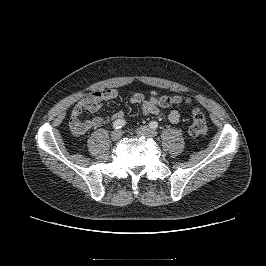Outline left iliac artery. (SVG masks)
Listing matches in <instances>:
<instances>
[{
	"instance_id": "obj_1",
	"label": "left iliac artery",
	"mask_w": 266,
	"mask_h": 266,
	"mask_svg": "<svg viewBox=\"0 0 266 266\" xmlns=\"http://www.w3.org/2000/svg\"><path fill=\"white\" fill-rule=\"evenodd\" d=\"M149 126L152 128V129H156L158 127V122L156 121H151L149 123Z\"/></svg>"
}]
</instances>
